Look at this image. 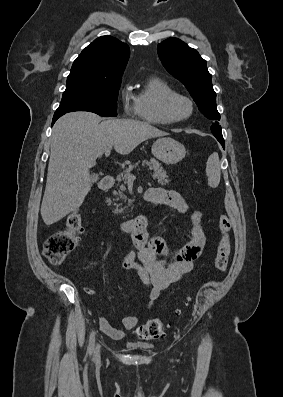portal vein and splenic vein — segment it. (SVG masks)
Returning a JSON list of instances; mask_svg holds the SVG:
<instances>
[{
    "instance_id": "1",
    "label": "portal vein and splenic vein",
    "mask_w": 283,
    "mask_h": 397,
    "mask_svg": "<svg viewBox=\"0 0 283 397\" xmlns=\"http://www.w3.org/2000/svg\"><path fill=\"white\" fill-rule=\"evenodd\" d=\"M109 155H110V149H107V150L105 151V156H106V157H109ZM127 178H128V180H134V179H135V176H134L131 172H128V173H127Z\"/></svg>"
}]
</instances>
